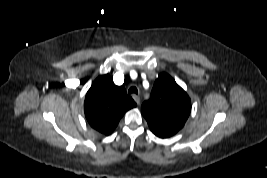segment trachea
Returning <instances> with one entry per match:
<instances>
[{
  "mask_svg": "<svg viewBox=\"0 0 267 178\" xmlns=\"http://www.w3.org/2000/svg\"><path fill=\"white\" fill-rule=\"evenodd\" d=\"M128 94H138V90L136 87H130L128 90Z\"/></svg>",
  "mask_w": 267,
  "mask_h": 178,
  "instance_id": "3493384b",
  "label": "trachea"
}]
</instances>
